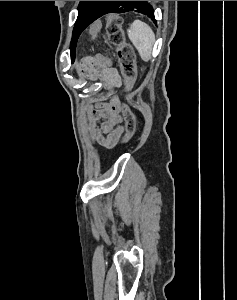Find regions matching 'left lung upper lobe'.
<instances>
[{"label":"left lung upper lobe","mask_w":237,"mask_h":300,"mask_svg":"<svg viewBox=\"0 0 237 300\" xmlns=\"http://www.w3.org/2000/svg\"><path fill=\"white\" fill-rule=\"evenodd\" d=\"M109 1H80L78 6V17L73 29L72 40L70 44L72 62L75 59L76 46L80 34L93 21L98 19L99 14ZM125 11H135L147 15L156 23L154 18L153 7L147 1H123L122 3Z\"/></svg>","instance_id":"left-lung-upper-lobe-1"}]
</instances>
